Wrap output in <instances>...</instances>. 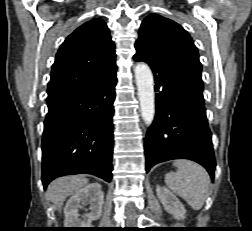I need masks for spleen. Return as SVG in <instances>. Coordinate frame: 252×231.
I'll return each instance as SVG.
<instances>
[{"label":"spleen","instance_id":"1","mask_svg":"<svg viewBox=\"0 0 252 231\" xmlns=\"http://www.w3.org/2000/svg\"><path fill=\"white\" fill-rule=\"evenodd\" d=\"M176 172L167 173L168 188L183 198L194 210H200L208 195L210 177L199 164L190 160H175Z\"/></svg>","mask_w":252,"mask_h":231}]
</instances>
